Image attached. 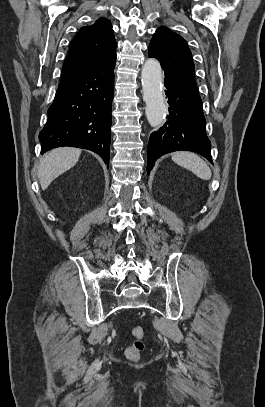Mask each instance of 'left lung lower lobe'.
Listing matches in <instances>:
<instances>
[{
    "label": "left lung lower lobe",
    "instance_id": "left-lung-lower-lobe-1",
    "mask_svg": "<svg viewBox=\"0 0 265 407\" xmlns=\"http://www.w3.org/2000/svg\"><path fill=\"white\" fill-rule=\"evenodd\" d=\"M164 85L170 105L169 116L164 126L150 136L147 172H150L159 157L178 150L200 153L212 163L206 120L198 91L169 75H165Z\"/></svg>",
    "mask_w": 265,
    "mask_h": 407
}]
</instances>
